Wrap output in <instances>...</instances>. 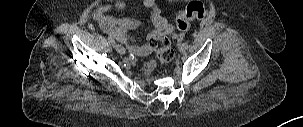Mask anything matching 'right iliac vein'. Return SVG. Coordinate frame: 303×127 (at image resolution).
I'll return each instance as SVG.
<instances>
[{"mask_svg":"<svg viewBox=\"0 0 303 127\" xmlns=\"http://www.w3.org/2000/svg\"><path fill=\"white\" fill-rule=\"evenodd\" d=\"M115 47H116V51H117L119 54L124 55V54L126 53V51H125V49H124L123 46H121V45H116Z\"/></svg>","mask_w":303,"mask_h":127,"instance_id":"right-iliac-vein-1","label":"right iliac vein"}]
</instances>
